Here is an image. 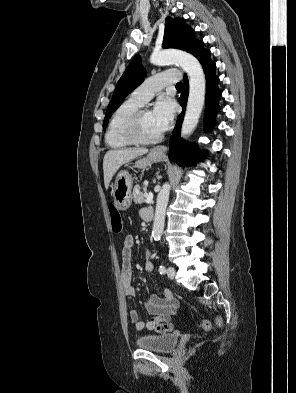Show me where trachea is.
<instances>
[{"label": "trachea", "instance_id": "obj_1", "mask_svg": "<svg viewBox=\"0 0 296 393\" xmlns=\"http://www.w3.org/2000/svg\"><path fill=\"white\" fill-rule=\"evenodd\" d=\"M176 87H183V84L181 82L177 83Z\"/></svg>", "mask_w": 296, "mask_h": 393}]
</instances>
